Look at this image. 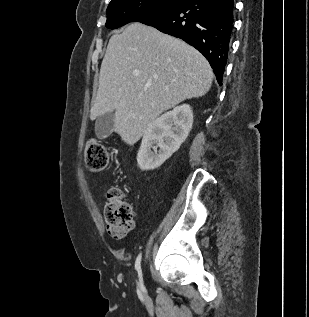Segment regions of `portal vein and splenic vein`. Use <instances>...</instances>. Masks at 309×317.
Listing matches in <instances>:
<instances>
[{"label": "portal vein and splenic vein", "mask_w": 309, "mask_h": 317, "mask_svg": "<svg viewBox=\"0 0 309 317\" xmlns=\"http://www.w3.org/2000/svg\"><path fill=\"white\" fill-rule=\"evenodd\" d=\"M133 75H134V76H138V75H139V72H138V71H134V72H133Z\"/></svg>", "instance_id": "portal-vein-and-splenic-vein-1"}]
</instances>
